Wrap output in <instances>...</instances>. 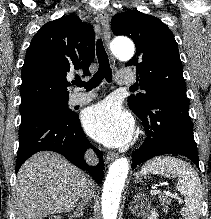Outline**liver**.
<instances>
[{"instance_id": "6515ba94", "label": "liver", "mask_w": 211, "mask_h": 219, "mask_svg": "<svg viewBox=\"0 0 211 219\" xmlns=\"http://www.w3.org/2000/svg\"><path fill=\"white\" fill-rule=\"evenodd\" d=\"M93 185L61 155L43 151L31 156L17 174L13 208L16 219H39L69 212Z\"/></svg>"}]
</instances>
